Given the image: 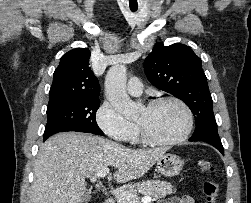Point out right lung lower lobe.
<instances>
[{
  "label": "right lung lower lobe",
  "mask_w": 251,
  "mask_h": 203,
  "mask_svg": "<svg viewBox=\"0 0 251 203\" xmlns=\"http://www.w3.org/2000/svg\"><path fill=\"white\" fill-rule=\"evenodd\" d=\"M46 139H47V138H45V139L43 138V141H45Z\"/></svg>",
  "instance_id": "right-lung-lower-lobe-1"
}]
</instances>
